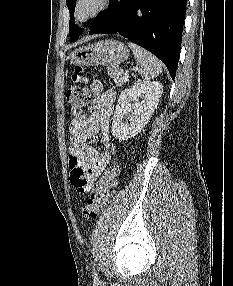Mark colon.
I'll return each mask as SVG.
<instances>
[{
    "label": "colon",
    "mask_w": 233,
    "mask_h": 286,
    "mask_svg": "<svg viewBox=\"0 0 233 286\" xmlns=\"http://www.w3.org/2000/svg\"><path fill=\"white\" fill-rule=\"evenodd\" d=\"M83 68L76 66L72 75L73 85L66 94V103L74 115H79L90 99V91L86 86V78L83 76ZM117 171L110 168L101 180L96 184L91 196L84 202L81 208V216L85 221L97 218L109 203L116 186Z\"/></svg>",
    "instance_id": "obj_1"
}]
</instances>
